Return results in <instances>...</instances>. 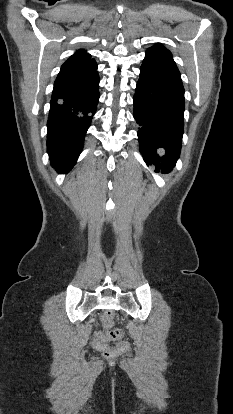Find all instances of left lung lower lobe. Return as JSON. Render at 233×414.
Listing matches in <instances>:
<instances>
[{"label": "left lung lower lobe", "mask_w": 233, "mask_h": 414, "mask_svg": "<svg viewBox=\"0 0 233 414\" xmlns=\"http://www.w3.org/2000/svg\"><path fill=\"white\" fill-rule=\"evenodd\" d=\"M133 102L143 159L157 170H171L180 155L184 127V87L172 57L147 50Z\"/></svg>", "instance_id": "left-lung-lower-lobe-1"}]
</instances>
